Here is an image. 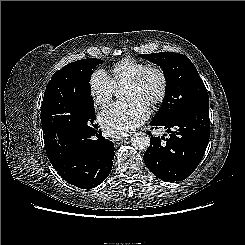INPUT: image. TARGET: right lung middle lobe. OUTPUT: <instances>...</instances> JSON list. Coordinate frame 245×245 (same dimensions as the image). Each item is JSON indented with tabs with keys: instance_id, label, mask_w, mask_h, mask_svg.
I'll return each mask as SVG.
<instances>
[{
	"instance_id": "dd1d6c3e",
	"label": "right lung middle lobe",
	"mask_w": 245,
	"mask_h": 245,
	"mask_svg": "<svg viewBox=\"0 0 245 245\" xmlns=\"http://www.w3.org/2000/svg\"><path fill=\"white\" fill-rule=\"evenodd\" d=\"M103 61L96 58L78 60L66 65L67 91L47 124L52 128L87 129L95 120L94 101L90 95V77L96 65Z\"/></svg>"
}]
</instances>
